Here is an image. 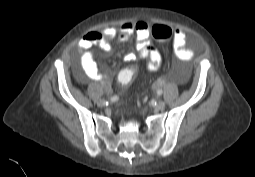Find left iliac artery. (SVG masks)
<instances>
[{"mask_svg":"<svg viewBox=\"0 0 255 177\" xmlns=\"http://www.w3.org/2000/svg\"><path fill=\"white\" fill-rule=\"evenodd\" d=\"M162 93H163V92H162L161 89H158V90H157V94H158V95H161Z\"/></svg>","mask_w":255,"mask_h":177,"instance_id":"left-iliac-artery-1","label":"left iliac artery"}]
</instances>
